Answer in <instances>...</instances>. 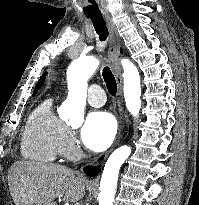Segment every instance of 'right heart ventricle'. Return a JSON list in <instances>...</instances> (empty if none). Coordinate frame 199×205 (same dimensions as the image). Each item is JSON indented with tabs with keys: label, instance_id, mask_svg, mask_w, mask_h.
Instances as JSON below:
<instances>
[{
	"label": "right heart ventricle",
	"instance_id": "e07e8e85",
	"mask_svg": "<svg viewBox=\"0 0 199 205\" xmlns=\"http://www.w3.org/2000/svg\"><path fill=\"white\" fill-rule=\"evenodd\" d=\"M65 124L52 110V100L41 102L30 114L21 139L23 157L41 162H54L61 153Z\"/></svg>",
	"mask_w": 199,
	"mask_h": 205
}]
</instances>
